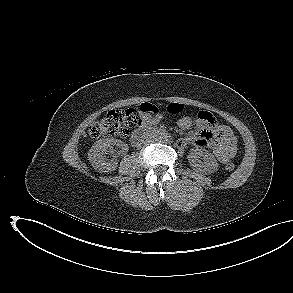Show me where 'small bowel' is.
I'll list each match as a JSON object with an SVG mask.
<instances>
[{"instance_id": "1", "label": "small bowel", "mask_w": 293, "mask_h": 293, "mask_svg": "<svg viewBox=\"0 0 293 293\" xmlns=\"http://www.w3.org/2000/svg\"><path fill=\"white\" fill-rule=\"evenodd\" d=\"M140 110L143 114V125L152 126L159 122L161 116L155 105L143 103ZM193 124L196 126L197 131L181 139L178 142L179 147L184 148L188 145H194L210 148L217 160L223 164L234 157L237 149V140L230 128L219 124L215 119L207 121L201 118L199 114L195 121L190 117H183L178 122L179 127L183 130L189 129Z\"/></svg>"}]
</instances>
